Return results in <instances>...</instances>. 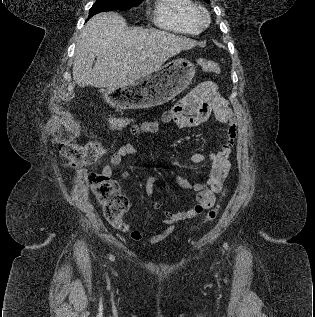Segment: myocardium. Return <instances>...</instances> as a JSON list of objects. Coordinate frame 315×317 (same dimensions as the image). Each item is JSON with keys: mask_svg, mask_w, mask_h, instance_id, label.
I'll return each mask as SVG.
<instances>
[{"mask_svg": "<svg viewBox=\"0 0 315 317\" xmlns=\"http://www.w3.org/2000/svg\"><path fill=\"white\" fill-rule=\"evenodd\" d=\"M191 18L195 26L200 30L206 28L210 22L209 12L203 6H195Z\"/></svg>", "mask_w": 315, "mask_h": 317, "instance_id": "1", "label": "myocardium"}]
</instances>
